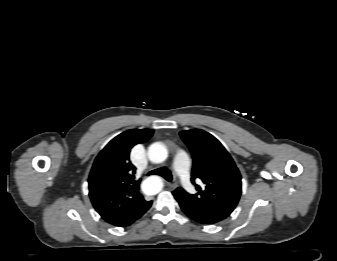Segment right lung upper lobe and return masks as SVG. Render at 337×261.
Here are the masks:
<instances>
[{
	"label": "right lung upper lobe",
	"mask_w": 337,
	"mask_h": 261,
	"mask_svg": "<svg viewBox=\"0 0 337 261\" xmlns=\"http://www.w3.org/2000/svg\"><path fill=\"white\" fill-rule=\"evenodd\" d=\"M152 129H131L112 139L96 157L88 183L91 202L108 223L122 226L134 222L150 202L139 193L135 166L129 161L130 149L146 142Z\"/></svg>",
	"instance_id": "cb5924a9"
}]
</instances>
